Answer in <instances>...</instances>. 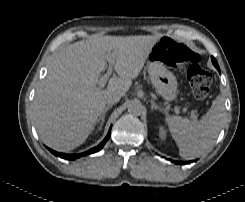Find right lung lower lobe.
Instances as JSON below:
<instances>
[{
    "label": "right lung lower lobe",
    "instance_id": "98d812e1",
    "mask_svg": "<svg viewBox=\"0 0 245 202\" xmlns=\"http://www.w3.org/2000/svg\"><path fill=\"white\" fill-rule=\"evenodd\" d=\"M110 134H111V128L107 134V136L105 137V139L95 148H92L90 149L89 151H86L84 153H80V154H63V153H58L54 150H50L51 153H53L54 155L56 156H59L61 158H64V159H67V160H74V159H77L79 157H82V156H85V155H88V154H92V153H95V152H98L99 150H101L103 148V146L105 145V143L107 142V140L110 138Z\"/></svg>",
    "mask_w": 245,
    "mask_h": 202
}]
</instances>
